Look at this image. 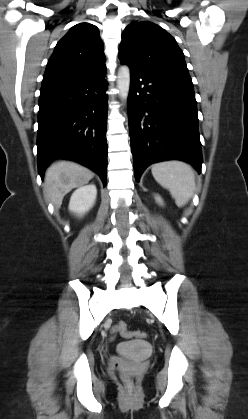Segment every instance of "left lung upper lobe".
Here are the masks:
<instances>
[{
  "label": "left lung upper lobe",
  "mask_w": 248,
  "mask_h": 419,
  "mask_svg": "<svg viewBox=\"0 0 248 419\" xmlns=\"http://www.w3.org/2000/svg\"><path fill=\"white\" fill-rule=\"evenodd\" d=\"M119 59L143 72L193 86L184 54L175 39L152 22H132L126 27Z\"/></svg>",
  "instance_id": "5c2ea615"
}]
</instances>
